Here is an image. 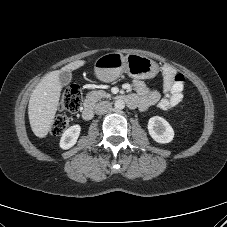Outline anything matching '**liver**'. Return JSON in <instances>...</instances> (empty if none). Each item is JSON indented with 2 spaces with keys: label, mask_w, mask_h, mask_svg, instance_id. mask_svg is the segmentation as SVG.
Listing matches in <instances>:
<instances>
[{
  "label": "liver",
  "mask_w": 227,
  "mask_h": 227,
  "mask_svg": "<svg viewBox=\"0 0 227 227\" xmlns=\"http://www.w3.org/2000/svg\"><path fill=\"white\" fill-rule=\"evenodd\" d=\"M84 60H77L46 74L33 90L29 105L28 116L33 133L45 137L52 125L59 105L62 85L59 80L61 71L76 70L85 65Z\"/></svg>",
  "instance_id": "1"
}]
</instances>
